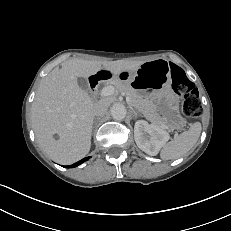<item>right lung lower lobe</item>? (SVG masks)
I'll return each instance as SVG.
<instances>
[{
	"label": "right lung lower lobe",
	"mask_w": 231,
	"mask_h": 231,
	"mask_svg": "<svg viewBox=\"0 0 231 231\" xmlns=\"http://www.w3.org/2000/svg\"><path fill=\"white\" fill-rule=\"evenodd\" d=\"M89 158H90V157H86V158L80 160L79 162L74 163L73 165H70V166H67V167H68V168L76 167V166L80 165L81 163H83L84 161L88 160Z\"/></svg>",
	"instance_id": "98d812e1"
}]
</instances>
